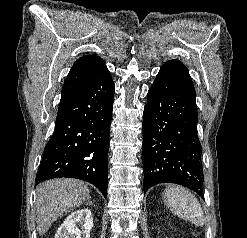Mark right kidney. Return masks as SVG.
<instances>
[{"label":"right kidney","mask_w":247,"mask_h":238,"mask_svg":"<svg viewBox=\"0 0 247 238\" xmlns=\"http://www.w3.org/2000/svg\"><path fill=\"white\" fill-rule=\"evenodd\" d=\"M92 227L93 218L91 211L88 208L77 210L65 219L58 228L55 238H90Z\"/></svg>","instance_id":"obj_1"}]
</instances>
